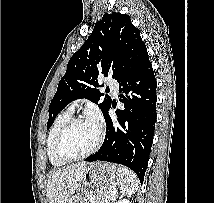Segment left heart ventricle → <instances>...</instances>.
I'll return each instance as SVG.
<instances>
[{
	"mask_svg": "<svg viewBox=\"0 0 214 203\" xmlns=\"http://www.w3.org/2000/svg\"><path fill=\"white\" fill-rule=\"evenodd\" d=\"M98 137V126L90 120L75 124L66 134L62 149L69 157L79 156L92 148Z\"/></svg>",
	"mask_w": 214,
	"mask_h": 203,
	"instance_id": "1",
	"label": "left heart ventricle"
}]
</instances>
